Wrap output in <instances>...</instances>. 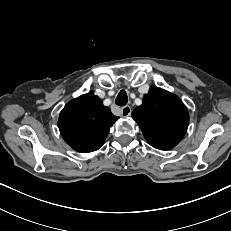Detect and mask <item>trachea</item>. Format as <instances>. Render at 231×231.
Segmentation results:
<instances>
[{
	"mask_svg": "<svg viewBox=\"0 0 231 231\" xmlns=\"http://www.w3.org/2000/svg\"><path fill=\"white\" fill-rule=\"evenodd\" d=\"M128 102V99H127V93L125 90H121L119 92V94L117 95V98L115 100V103L118 105V106H125Z\"/></svg>",
	"mask_w": 231,
	"mask_h": 231,
	"instance_id": "3493384b",
	"label": "trachea"
}]
</instances>
